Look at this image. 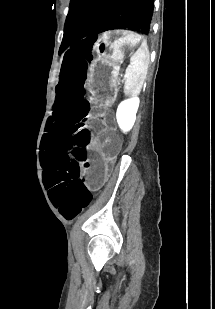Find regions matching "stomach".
<instances>
[{"label":"stomach","mask_w":215,"mask_h":309,"mask_svg":"<svg viewBox=\"0 0 215 309\" xmlns=\"http://www.w3.org/2000/svg\"><path fill=\"white\" fill-rule=\"evenodd\" d=\"M142 36L128 29H115L103 33L95 44L96 58L87 76V87L94 100L112 98L119 75V67L126 52L142 42Z\"/></svg>","instance_id":"obj_1"}]
</instances>
